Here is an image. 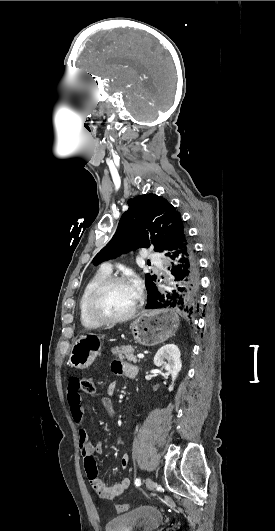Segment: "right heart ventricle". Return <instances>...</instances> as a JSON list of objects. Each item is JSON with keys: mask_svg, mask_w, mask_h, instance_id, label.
<instances>
[{"mask_svg": "<svg viewBox=\"0 0 275 531\" xmlns=\"http://www.w3.org/2000/svg\"><path fill=\"white\" fill-rule=\"evenodd\" d=\"M109 275V272L107 271H100L97 274H95L92 279L86 284V286L83 289V292L81 294V297L79 299L78 303V310H79V317L81 320V323L84 327L89 329H95L100 326L99 323L91 320L85 312V301L87 299V296L89 295L90 291L93 289V287L99 283L103 278Z\"/></svg>", "mask_w": 275, "mask_h": 531, "instance_id": "e07e8e85", "label": "right heart ventricle"}]
</instances>
